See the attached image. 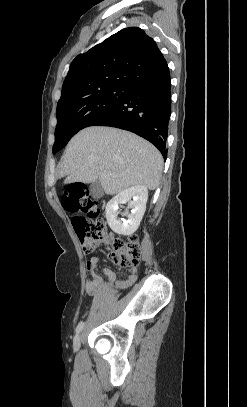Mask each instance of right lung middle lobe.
Segmentation results:
<instances>
[{"label":"right lung middle lobe","instance_id":"1","mask_svg":"<svg viewBox=\"0 0 247 407\" xmlns=\"http://www.w3.org/2000/svg\"><path fill=\"white\" fill-rule=\"evenodd\" d=\"M128 94V87H110L57 107L53 154L81 129L94 125L115 109Z\"/></svg>","mask_w":247,"mask_h":407}]
</instances>
